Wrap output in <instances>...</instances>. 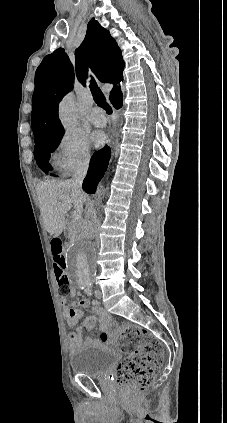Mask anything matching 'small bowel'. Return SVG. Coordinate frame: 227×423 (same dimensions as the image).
<instances>
[{"mask_svg": "<svg viewBox=\"0 0 227 423\" xmlns=\"http://www.w3.org/2000/svg\"><path fill=\"white\" fill-rule=\"evenodd\" d=\"M69 294L71 296L75 295V289L72 286ZM60 302L63 306L64 319L69 326H76L79 321L82 320V326H77L76 329L69 334L70 348L72 350H75L82 342L83 329L91 331L96 325L99 326L102 332L100 335V342H108L109 335L106 331L111 321V317L107 311L99 305V303H90L86 299H81L73 302L71 305H67L66 298L64 296L61 297ZM81 308H89L91 313L85 316ZM95 342L97 341L92 338H88L86 340V343L88 344Z\"/></svg>", "mask_w": 227, "mask_h": 423, "instance_id": "obj_1", "label": "small bowel"}]
</instances>
